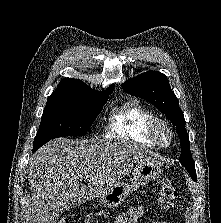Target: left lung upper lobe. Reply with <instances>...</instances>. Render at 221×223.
Masks as SVG:
<instances>
[{
    "label": "left lung upper lobe",
    "mask_w": 221,
    "mask_h": 223,
    "mask_svg": "<svg viewBox=\"0 0 221 223\" xmlns=\"http://www.w3.org/2000/svg\"><path fill=\"white\" fill-rule=\"evenodd\" d=\"M122 88L130 95L141 97L153 104L176 126L180 138V163L196 181V170L190 152L188 133L185 129V119L179 107V102L169 86L167 77L157 71H148L122 84Z\"/></svg>",
    "instance_id": "5c2ea615"
}]
</instances>
